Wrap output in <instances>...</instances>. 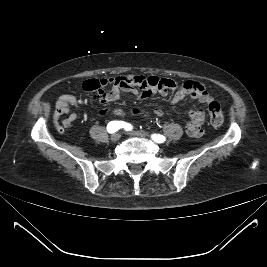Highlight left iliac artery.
Segmentation results:
<instances>
[{
    "label": "left iliac artery",
    "instance_id": "obj_1",
    "mask_svg": "<svg viewBox=\"0 0 267 267\" xmlns=\"http://www.w3.org/2000/svg\"><path fill=\"white\" fill-rule=\"evenodd\" d=\"M151 137L157 143H163L165 141V137L159 134H153Z\"/></svg>",
    "mask_w": 267,
    "mask_h": 267
}]
</instances>
